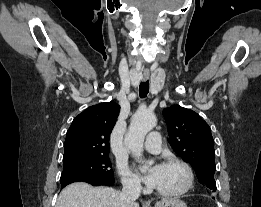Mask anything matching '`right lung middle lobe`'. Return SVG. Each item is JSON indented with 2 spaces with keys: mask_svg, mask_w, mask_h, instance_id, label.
I'll return each instance as SVG.
<instances>
[{
  "mask_svg": "<svg viewBox=\"0 0 261 207\" xmlns=\"http://www.w3.org/2000/svg\"><path fill=\"white\" fill-rule=\"evenodd\" d=\"M60 182L84 178H114L109 155L79 157L63 161Z\"/></svg>",
  "mask_w": 261,
  "mask_h": 207,
  "instance_id": "right-lung-middle-lobe-1",
  "label": "right lung middle lobe"
}]
</instances>
